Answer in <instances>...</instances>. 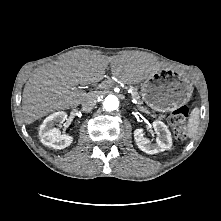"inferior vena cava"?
<instances>
[{
	"mask_svg": "<svg viewBox=\"0 0 221 221\" xmlns=\"http://www.w3.org/2000/svg\"><path fill=\"white\" fill-rule=\"evenodd\" d=\"M97 103V95L96 94H89L82 102L83 110L90 111L94 108Z\"/></svg>",
	"mask_w": 221,
	"mask_h": 221,
	"instance_id": "obj_1",
	"label": "inferior vena cava"
}]
</instances>
